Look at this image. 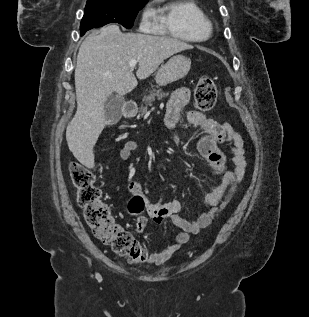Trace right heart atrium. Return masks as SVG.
I'll list each match as a JSON object with an SVG mask.
<instances>
[{
  "label": "right heart atrium",
  "mask_w": 309,
  "mask_h": 317,
  "mask_svg": "<svg viewBox=\"0 0 309 317\" xmlns=\"http://www.w3.org/2000/svg\"><path fill=\"white\" fill-rule=\"evenodd\" d=\"M151 16H152V12H151L150 10H146V11L143 13L142 24L145 25V26L148 25Z\"/></svg>",
  "instance_id": "right-heart-atrium-1"
}]
</instances>
